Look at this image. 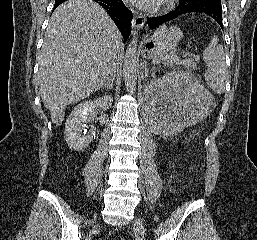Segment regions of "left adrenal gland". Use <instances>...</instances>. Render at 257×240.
Wrapping results in <instances>:
<instances>
[{
	"instance_id": "left-adrenal-gland-1",
	"label": "left adrenal gland",
	"mask_w": 257,
	"mask_h": 240,
	"mask_svg": "<svg viewBox=\"0 0 257 240\" xmlns=\"http://www.w3.org/2000/svg\"><path fill=\"white\" fill-rule=\"evenodd\" d=\"M150 71H151V70L145 66V68H144L145 77H147V75H148V73H149ZM153 76H154V73H153Z\"/></svg>"
}]
</instances>
